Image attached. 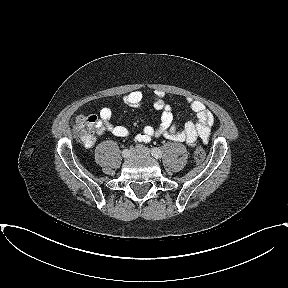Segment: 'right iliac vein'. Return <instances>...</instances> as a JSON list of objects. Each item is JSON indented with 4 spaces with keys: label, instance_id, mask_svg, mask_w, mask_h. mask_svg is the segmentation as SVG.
<instances>
[{
    "label": "right iliac vein",
    "instance_id": "right-iliac-vein-1",
    "mask_svg": "<svg viewBox=\"0 0 288 288\" xmlns=\"http://www.w3.org/2000/svg\"><path fill=\"white\" fill-rule=\"evenodd\" d=\"M129 151V157L132 156L134 154V149H127ZM128 157V158H129Z\"/></svg>",
    "mask_w": 288,
    "mask_h": 288
}]
</instances>
